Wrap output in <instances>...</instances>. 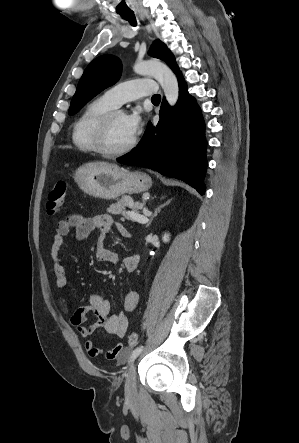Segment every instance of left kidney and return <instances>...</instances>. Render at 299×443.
Here are the masks:
<instances>
[{"instance_id":"obj_1","label":"left kidney","mask_w":299,"mask_h":443,"mask_svg":"<svg viewBox=\"0 0 299 443\" xmlns=\"http://www.w3.org/2000/svg\"><path fill=\"white\" fill-rule=\"evenodd\" d=\"M163 242H169L170 241V234L169 233H165L162 237Z\"/></svg>"}]
</instances>
